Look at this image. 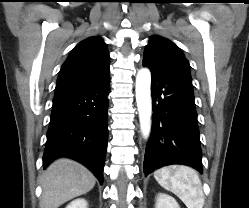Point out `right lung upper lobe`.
I'll return each instance as SVG.
<instances>
[{
    "instance_id": "cb5924a9",
    "label": "right lung upper lobe",
    "mask_w": 249,
    "mask_h": 208,
    "mask_svg": "<svg viewBox=\"0 0 249 208\" xmlns=\"http://www.w3.org/2000/svg\"><path fill=\"white\" fill-rule=\"evenodd\" d=\"M109 52L97 36L81 41L62 65L55 94L95 84L109 76Z\"/></svg>"
}]
</instances>
